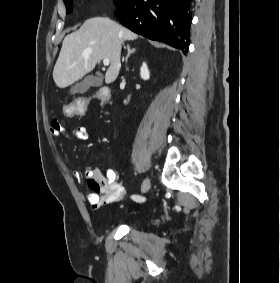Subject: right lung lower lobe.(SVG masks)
Wrapping results in <instances>:
<instances>
[{
	"mask_svg": "<svg viewBox=\"0 0 280 283\" xmlns=\"http://www.w3.org/2000/svg\"><path fill=\"white\" fill-rule=\"evenodd\" d=\"M192 0H127L114 13L135 33L162 41L185 54L189 47Z\"/></svg>",
	"mask_w": 280,
	"mask_h": 283,
	"instance_id": "98d812e1",
	"label": "right lung lower lobe"
}]
</instances>
